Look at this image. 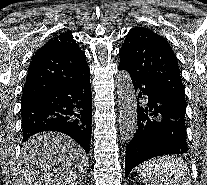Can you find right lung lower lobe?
<instances>
[{
  "label": "right lung lower lobe",
  "mask_w": 207,
  "mask_h": 185,
  "mask_svg": "<svg viewBox=\"0 0 207 185\" xmlns=\"http://www.w3.org/2000/svg\"><path fill=\"white\" fill-rule=\"evenodd\" d=\"M90 73L52 93L21 105L23 141L43 131L65 133L90 150L92 99Z\"/></svg>",
  "instance_id": "1"
}]
</instances>
